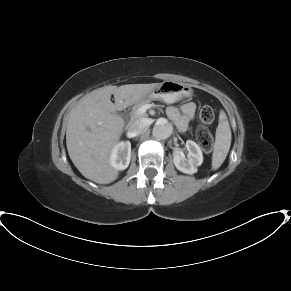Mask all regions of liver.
Listing matches in <instances>:
<instances>
[{
	"label": "liver",
	"instance_id": "1",
	"mask_svg": "<svg viewBox=\"0 0 291 291\" xmlns=\"http://www.w3.org/2000/svg\"><path fill=\"white\" fill-rule=\"evenodd\" d=\"M156 85L105 86L82 97L71 109L66 130L67 150L85 178L98 184L117 179L118 171L110 163V154L122 136L125 123L116 110L141 101ZM112 94L115 103L110 99Z\"/></svg>",
	"mask_w": 291,
	"mask_h": 291
}]
</instances>
